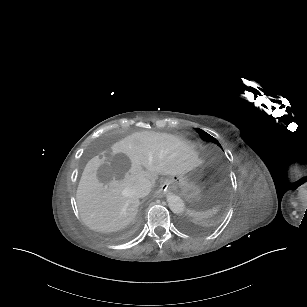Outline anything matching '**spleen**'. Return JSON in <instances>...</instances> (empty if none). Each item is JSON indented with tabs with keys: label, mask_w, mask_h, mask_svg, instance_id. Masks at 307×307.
Segmentation results:
<instances>
[{
	"label": "spleen",
	"mask_w": 307,
	"mask_h": 307,
	"mask_svg": "<svg viewBox=\"0 0 307 307\" xmlns=\"http://www.w3.org/2000/svg\"><path fill=\"white\" fill-rule=\"evenodd\" d=\"M219 210V207H213L212 209H209L205 212H197L191 209L187 210V214L191 215L193 218H209L213 215H215Z\"/></svg>",
	"instance_id": "spleen-1"
}]
</instances>
